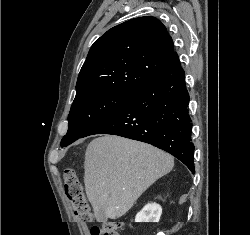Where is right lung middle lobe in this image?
I'll return each instance as SVG.
<instances>
[{
    "mask_svg": "<svg viewBox=\"0 0 250 235\" xmlns=\"http://www.w3.org/2000/svg\"><path fill=\"white\" fill-rule=\"evenodd\" d=\"M133 93L101 91L75 99L68 116V131L61 141L66 147L118 110Z\"/></svg>",
    "mask_w": 250,
    "mask_h": 235,
    "instance_id": "obj_1",
    "label": "right lung middle lobe"
}]
</instances>
